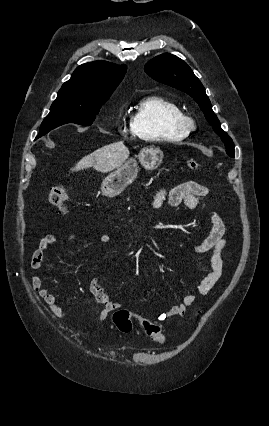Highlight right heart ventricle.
I'll return each mask as SVG.
<instances>
[{
    "label": "right heart ventricle",
    "mask_w": 269,
    "mask_h": 426,
    "mask_svg": "<svg viewBox=\"0 0 269 426\" xmlns=\"http://www.w3.org/2000/svg\"><path fill=\"white\" fill-rule=\"evenodd\" d=\"M180 115L182 110L174 101L149 95L135 106L130 128L135 135L148 142L179 141L188 134L176 124Z\"/></svg>",
    "instance_id": "obj_1"
}]
</instances>
